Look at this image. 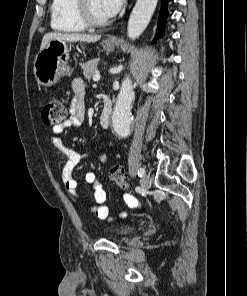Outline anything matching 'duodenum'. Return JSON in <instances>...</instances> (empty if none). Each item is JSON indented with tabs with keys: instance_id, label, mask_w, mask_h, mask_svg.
Wrapping results in <instances>:
<instances>
[{
	"instance_id": "410a0bca",
	"label": "duodenum",
	"mask_w": 247,
	"mask_h": 296,
	"mask_svg": "<svg viewBox=\"0 0 247 296\" xmlns=\"http://www.w3.org/2000/svg\"><path fill=\"white\" fill-rule=\"evenodd\" d=\"M112 102L108 96L102 99V110L100 113V124L103 129L108 130L111 123Z\"/></svg>"
}]
</instances>
